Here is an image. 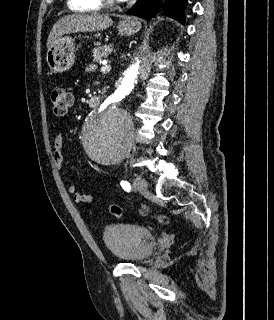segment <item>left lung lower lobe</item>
Returning <instances> with one entry per match:
<instances>
[{
	"label": "left lung lower lobe",
	"mask_w": 274,
	"mask_h": 320,
	"mask_svg": "<svg viewBox=\"0 0 274 320\" xmlns=\"http://www.w3.org/2000/svg\"><path fill=\"white\" fill-rule=\"evenodd\" d=\"M159 4L157 0H137L127 11L128 15H134L150 20L156 14ZM187 7V0H167L164 7V14L174 18L180 23H185L184 10Z\"/></svg>",
	"instance_id": "1"
}]
</instances>
